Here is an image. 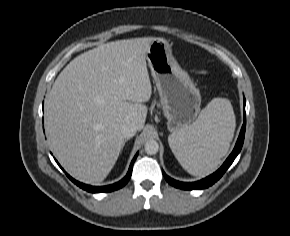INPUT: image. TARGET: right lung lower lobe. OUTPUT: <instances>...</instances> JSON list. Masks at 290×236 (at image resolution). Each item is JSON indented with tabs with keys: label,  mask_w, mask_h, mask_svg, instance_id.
Listing matches in <instances>:
<instances>
[{
	"label": "right lung lower lobe",
	"mask_w": 290,
	"mask_h": 236,
	"mask_svg": "<svg viewBox=\"0 0 290 236\" xmlns=\"http://www.w3.org/2000/svg\"><path fill=\"white\" fill-rule=\"evenodd\" d=\"M137 156H138V153L133 158V160H132V162L130 164V167H129V170H128L127 175L122 180H120L119 182H117L115 184H112V185L101 186V187L90 186V185H86V184H83V183H80V182L76 181L71 176H69L67 173H66V175L68 176V178L73 183H75L77 186H79L80 188H82V189H84V190H86L88 192L98 193V192H110V191H114V190H117V189L123 187L129 181V179L131 177V174H132V167H133V164H134Z\"/></svg>",
	"instance_id": "98d812e1"
}]
</instances>
